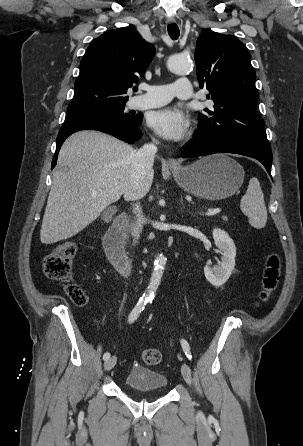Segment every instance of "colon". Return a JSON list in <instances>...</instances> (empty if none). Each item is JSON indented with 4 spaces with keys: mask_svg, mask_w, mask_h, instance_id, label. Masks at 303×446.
Masks as SVG:
<instances>
[{
    "mask_svg": "<svg viewBox=\"0 0 303 446\" xmlns=\"http://www.w3.org/2000/svg\"><path fill=\"white\" fill-rule=\"evenodd\" d=\"M77 243L75 241H65L42 261L44 275L52 281H66L69 279L72 270V261L77 253ZM281 274V259L277 253H270L265 261L262 275V287L258 294L256 305L265 303L270 298L272 292L277 288ZM65 293L71 302L77 306L86 303L87 297L84 290L75 283L65 285ZM142 360L145 364L154 366L162 360V354L158 349L150 348L142 352Z\"/></svg>",
    "mask_w": 303,
    "mask_h": 446,
    "instance_id": "colon-1",
    "label": "colon"
}]
</instances>
